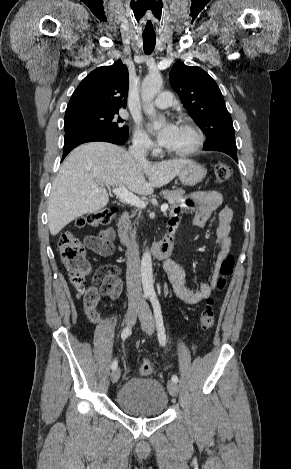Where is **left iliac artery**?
<instances>
[{"label": "left iliac artery", "mask_w": 291, "mask_h": 469, "mask_svg": "<svg viewBox=\"0 0 291 469\" xmlns=\"http://www.w3.org/2000/svg\"><path fill=\"white\" fill-rule=\"evenodd\" d=\"M150 300H151V303H152V306H153L159 343H160L161 346H164L166 344V334H165V328H164L163 316H162L160 303H159V300H158L157 295L155 293L150 294ZM172 380L177 383L178 382V376L175 375V374L172 375Z\"/></svg>", "instance_id": "obj_1"}]
</instances>
